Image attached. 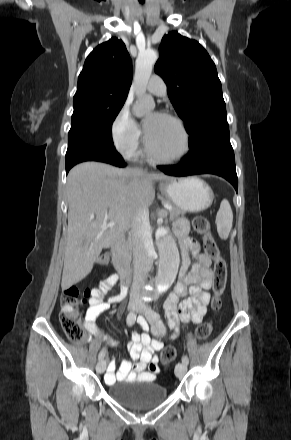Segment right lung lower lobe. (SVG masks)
Returning <instances> with one entry per match:
<instances>
[{"label": "right lung lower lobe", "mask_w": 291, "mask_h": 440, "mask_svg": "<svg viewBox=\"0 0 291 440\" xmlns=\"http://www.w3.org/2000/svg\"><path fill=\"white\" fill-rule=\"evenodd\" d=\"M84 161L105 162L118 167L125 166L121 155L115 148L87 142H75L68 145L65 157L66 174L74 165Z\"/></svg>", "instance_id": "1"}]
</instances>
